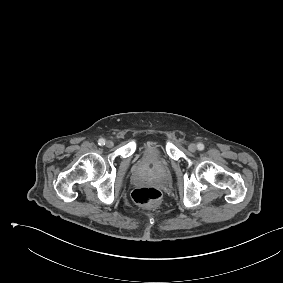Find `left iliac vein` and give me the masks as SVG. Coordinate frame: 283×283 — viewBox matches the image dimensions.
<instances>
[{
	"label": "left iliac vein",
	"mask_w": 283,
	"mask_h": 283,
	"mask_svg": "<svg viewBox=\"0 0 283 283\" xmlns=\"http://www.w3.org/2000/svg\"><path fill=\"white\" fill-rule=\"evenodd\" d=\"M196 149H197V146H196L194 143L189 144L188 150H189L190 152H195Z\"/></svg>",
	"instance_id": "obj_1"
}]
</instances>
